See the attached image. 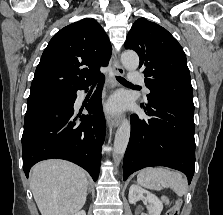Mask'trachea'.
<instances>
[{"label": "trachea", "instance_id": "trachea-1", "mask_svg": "<svg viewBox=\"0 0 223 215\" xmlns=\"http://www.w3.org/2000/svg\"><path fill=\"white\" fill-rule=\"evenodd\" d=\"M116 78H117L118 82H120V83H130L127 80H125V78H123L121 76H117Z\"/></svg>", "mask_w": 223, "mask_h": 215}]
</instances>
